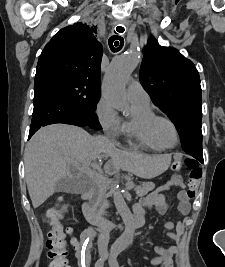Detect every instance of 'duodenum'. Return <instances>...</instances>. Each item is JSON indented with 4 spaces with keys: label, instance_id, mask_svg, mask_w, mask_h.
Returning <instances> with one entry per match:
<instances>
[{
    "label": "duodenum",
    "instance_id": "duodenum-1",
    "mask_svg": "<svg viewBox=\"0 0 225 267\" xmlns=\"http://www.w3.org/2000/svg\"><path fill=\"white\" fill-rule=\"evenodd\" d=\"M83 214L88 221L97 225L101 229H110L115 227L108 219L99 213L95 206V202H84ZM143 221L142 217L135 214V218L126 220L125 227L127 229H137L142 226Z\"/></svg>",
    "mask_w": 225,
    "mask_h": 267
}]
</instances>
